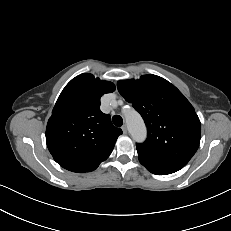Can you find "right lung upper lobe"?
<instances>
[{
  "label": "right lung upper lobe",
  "instance_id": "obj_1",
  "mask_svg": "<svg viewBox=\"0 0 231 231\" xmlns=\"http://www.w3.org/2000/svg\"><path fill=\"white\" fill-rule=\"evenodd\" d=\"M115 90L109 81L84 73L61 92L46 128V143L63 168L83 173L95 170L111 154L122 130L100 110V98Z\"/></svg>",
  "mask_w": 231,
  "mask_h": 231
}]
</instances>
